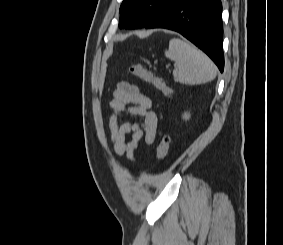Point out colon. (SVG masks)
I'll list each match as a JSON object with an SVG mask.
<instances>
[{
  "label": "colon",
  "instance_id": "obj_1",
  "mask_svg": "<svg viewBox=\"0 0 283 245\" xmlns=\"http://www.w3.org/2000/svg\"><path fill=\"white\" fill-rule=\"evenodd\" d=\"M129 71L132 75L136 76L142 81L154 85L165 96L167 97L171 96V90L164 84L163 80L155 76L149 70L145 69L141 64L139 63L131 64L129 66ZM169 145H170V137L167 135L162 136L156 149V157L159 161H163L167 157L169 151Z\"/></svg>",
  "mask_w": 283,
  "mask_h": 245
}]
</instances>
